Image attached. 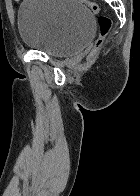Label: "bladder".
<instances>
[{
	"instance_id": "31cf9c89",
	"label": "bladder",
	"mask_w": 140,
	"mask_h": 196,
	"mask_svg": "<svg viewBox=\"0 0 140 196\" xmlns=\"http://www.w3.org/2000/svg\"><path fill=\"white\" fill-rule=\"evenodd\" d=\"M17 22L26 46L55 57L80 52L95 34L94 13L78 0H25Z\"/></svg>"
}]
</instances>
